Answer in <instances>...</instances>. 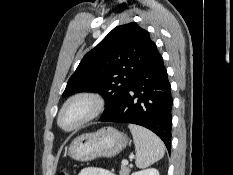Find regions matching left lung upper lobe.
Listing matches in <instances>:
<instances>
[{"mask_svg": "<svg viewBox=\"0 0 233 175\" xmlns=\"http://www.w3.org/2000/svg\"><path fill=\"white\" fill-rule=\"evenodd\" d=\"M156 49L149 33L136 23L114 28L81 60L62 96L97 92L105 99L101 118L113 112L137 73Z\"/></svg>", "mask_w": 233, "mask_h": 175, "instance_id": "left-lung-upper-lobe-1", "label": "left lung upper lobe"}]
</instances>
